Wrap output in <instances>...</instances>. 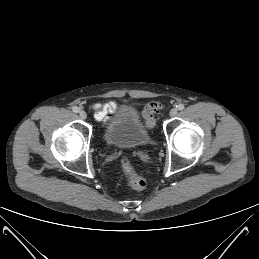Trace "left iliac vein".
<instances>
[{"mask_svg":"<svg viewBox=\"0 0 259 259\" xmlns=\"http://www.w3.org/2000/svg\"><path fill=\"white\" fill-rule=\"evenodd\" d=\"M177 113H178V110L176 108H173L170 110L169 115L171 117H175L177 115Z\"/></svg>","mask_w":259,"mask_h":259,"instance_id":"1","label":"left iliac vein"}]
</instances>
